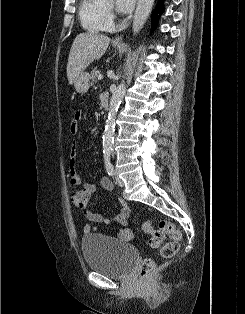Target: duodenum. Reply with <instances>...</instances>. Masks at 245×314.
Here are the masks:
<instances>
[{"instance_id": "410a0bca", "label": "duodenum", "mask_w": 245, "mask_h": 314, "mask_svg": "<svg viewBox=\"0 0 245 314\" xmlns=\"http://www.w3.org/2000/svg\"><path fill=\"white\" fill-rule=\"evenodd\" d=\"M101 103L105 111L109 110V96L107 94H102L100 97Z\"/></svg>"}]
</instances>
